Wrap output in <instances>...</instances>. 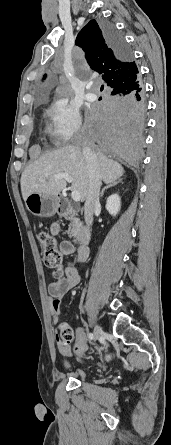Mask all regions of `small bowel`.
<instances>
[{
	"label": "small bowel",
	"instance_id": "c3829d8e",
	"mask_svg": "<svg viewBox=\"0 0 171 445\" xmlns=\"http://www.w3.org/2000/svg\"><path fill=\"white\" fill-rule=\"evenodd\" d=\"M50 232L53 236L60 233V226L52 224ZM60 252L64 255H71L76 253V257L69 261L64 268V277L51 282L49 284L50 299L49 305L52 312V321L57 324L62 313L61 298L66 295L72 288L80 282L79 266H83L88 259V249L86 247L75 246L73 241L64 240L60 244ZM86 335L81 328L76 330V345L85 348ZM58 350L65 357H71L73 351L69 345L58 342Z\"/></svg>",
	"mask_w": 171,
	"mask_h": 445
}]
</instances>
